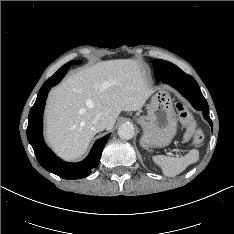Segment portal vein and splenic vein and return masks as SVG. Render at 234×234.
I'll list each match as a JSON object with an SVG mask.
<instances>
[{
    "label": "portal vein and splenic vein",
    "mask_w": 234,
    "mask_h": 234,
    "mask_svg": "<svg viewBox=\"0 0 234 234\" xmlns=\"http://www.w3.org/2000/svg\"><path fill=\"white\" fill-rule=\"evenodd\" d=\"M173 151L176 153L177 156H179L177 150H173ZM169 155H173V153H169Z\"/></svg>",
    "instance_id": "obj_1"
}]
</instances>
